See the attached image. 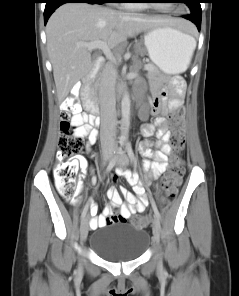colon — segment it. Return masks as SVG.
<instances>
[{
    "mask_svg": "<svg viewBox=\"0 0 239 296\" xmlns=\"http://www.w3.org/2000/svg\"><path fill=\"white\" fill-rule=\"evenodd\" d=\"M78 111V105L71 98L64 100L61 104L60 137L54 176L59 193L67 201L74 200L76 195L79 154L83 148V139L77 134L80 124L75 120ZM171 121L172 133L170 142L174 148V154L170 167L162 178L165 202H169L177 195L181 184V177L184 173V163L181 158V152L186 142L183 109L178 108L174 110L171 114ZM149 220L147 215H138L132 218L131 221L136 226H145L149 223ZM108 221L118 223L124 220L121 216L113 213L108 218Z\"/></svg>",
    "mask_w": 239,
    "mask_h": 296,
    "instance_id": "1",
    "label": "colon"
}]
</instances>
